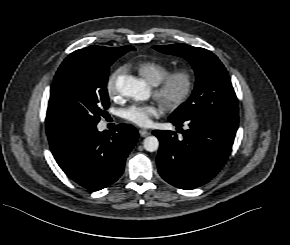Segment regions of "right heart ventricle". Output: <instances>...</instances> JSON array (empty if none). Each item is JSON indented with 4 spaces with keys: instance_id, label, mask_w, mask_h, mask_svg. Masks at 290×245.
Masks as SVG:
<instances>
[{
    "instance_id": "1",
    "label": "right heart ventricle",
    "mask_w": 290,
    "mask_h": 245,
    "mask_svg": "<svg viewBox=\"0 0 290 245\" xmlns=\"http://www.w3.org/2000/svg\"><path fill=\"white\" fill-rule=\"evenodd\" d=\"M137 72L150 84L157 85L169 73V68L156 61H143L136 65Z\"/></svg>"
}]
</instances>
